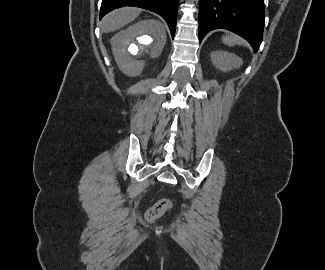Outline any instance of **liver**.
I'll use <instances>...</instances> for the list:
<instances>
[{"mask_svg":"<svg viewBox=\"0 0 325 270\" xmlns=\"http://www.w3.org/2000/svg\"><path fill=\"white\" fill-rule=\"evenodd\" d=\"M141 13V9L125 7L107 14L102 21L103 32H113L134 21Z\"/></svg>","mask_w":325,"mask_h":270,"instance_id":"6515ba94","label":"liver"}]
</instances>
